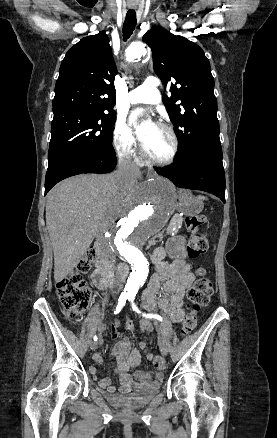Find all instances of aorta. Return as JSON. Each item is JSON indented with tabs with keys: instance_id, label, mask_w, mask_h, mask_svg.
<instances>
[{
	"instance_id": "aorta-1",
	"label": "aorta",
	"mask_w": 277,
	"mask_h": 438,
	"mask_svg": "<svg viewBox=\"0 0 277 438\" xmlns=\"http://www.w3.org/2000/svg\"><path fill=\"white\" fill-rule=\"evenodd\" d=\"M145 53L144 44L133 43L127 48L126 57L137 62ZM174 208L173 187L163 178L148 180L130 194L120 219L108 236L113 250L131 265L125 293L135 295L147 279L149 263L142 248L165 226Z\"/></svg>"
}]
</instances>
